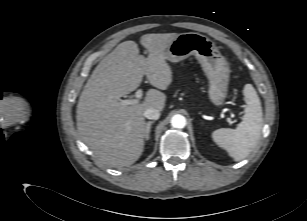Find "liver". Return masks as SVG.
<instances>
[{
    "label": "liver",
    "instance_id": "liver-1",
    "mask_svg": "<svg viewBox=\"0 0 307 221\" xmlns=\"http://www.w3.org/2000/svg\"><path fill=\"white\" fill-rule=\"evenodd\" d=\"M176 33L145 34L140 38L148 56L139 54L134 41L120 43L96 66L84 86L77 105L80 139L105 165L130 166L142 155L148 108L164 109L166 95L149 89L141 103L122 105L121 97L135 91L143 76L158 89L172 82L165 51Z\"/></svg>",
    "mask_w": 307,
    "mask_h": 221
}]
</instances>
